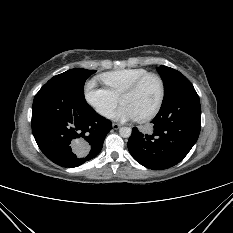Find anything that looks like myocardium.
<instances>
[{
	"label": "myocardium",
	"mask_w": 233,
	"mask_h": 233,
	"mask_svg": "<svg viewBox=\"0 0 233 233\" xmlns=\"http://www.w3.org/2000/svg\"><path fill=\"white\" fill-rule=\"evenodd\" d=\"M149 78H156L159 81L160 97H159V100H158L156 106L154 107V109L150 113L137 119L139 122H146V121L153 119L161 110L164 99H165V93H166L165 82H164L163 78L159 74L149 72V73L141 76L140 78H138L136 81H134L120 95V101H121L123 96H125L127 94L134 93L135 91H137L142 86V84L146 80H148Z\"/></svg>",
	"instance_id": "obj_1"
}]
</instances>
